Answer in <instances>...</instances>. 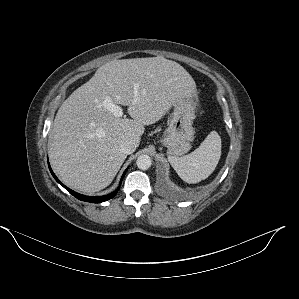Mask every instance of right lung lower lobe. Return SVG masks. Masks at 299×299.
I'll return each mask as SVG.
<instances>
[{
  "mask_svg": "<svg viewBox=\"0 0 299 299\" xmlns=\"http://www.w3.org/2000/svg\"><path fill=\"white\" fill-rule=\"evenodd\" d=\"M48 165H49V163H48ZM49 169H50V171H51V174L53 175V177L56 179V181H57L58 183H60V184H61V185H62V186H63V187L70 193V194H72L74 197H76L77 199L82 200V201L92 202V203H100V202H104V201H106V200H109V199L113 198V197L116 195L117 191L119 190V189H117L116 191H114V192H112V193H110V194H108V195H105V196H96V197L85 196V195L76 193V192H74L73 190L67 188V187H66L65 185H63V184L58 180V178L55 176V174L53 173V171H52L50 165H49ZM126 171H127V170H126ZM126 171L124 172V174H123V176H122V179H123V177H124ZM122 179H121V180H122Z\"/></svg>",
  "mask_w": 299,
  "mask_h": 299,
  "instance_id": "98d812e1",
  "label": "right lung lower lobe"
}]
</instances>
